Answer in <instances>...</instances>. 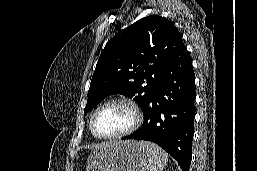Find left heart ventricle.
<instances>
[{"label":"left heart ventricle","mask_w":257,"mask_h":171,"mask_svg":"<svg viewBox=\"0 0 257 171\" xmlns=\"http://www.w3.org/2000/svg\"><path fill=\"white\" fill-rule=\"evenodd\" d=\"M133 121L134 115L127 106L114 104L99 112L95 128L100 135H114L126 130Z\"/></svg>","instance_id":"b2bd125f"}]
</instances>
